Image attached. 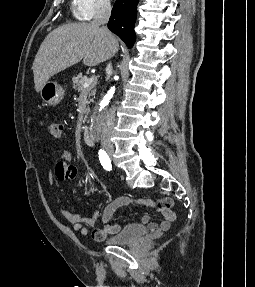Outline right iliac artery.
Listing matches in <instances>:
<instances>
[{
  "label": "right iliac artery",
  "instance_id": "right-iliac-artery-1",
  "mask_svg": "<svg viewBox=\"0 0 255 287\" xmlns=\"http://www.w3.org/2000/svg\"><path fill=\"white\" fill-rule=\"evenodd\" d=\"M99 160L105 170L110 171L112 169L111 160L104 150L99 151Z\"/></svg>",
  "mask_w": 255,
  "mask_h": 287
}]
</instances>
